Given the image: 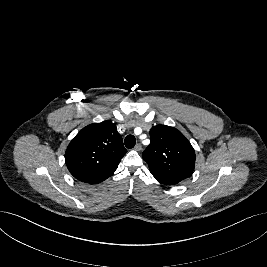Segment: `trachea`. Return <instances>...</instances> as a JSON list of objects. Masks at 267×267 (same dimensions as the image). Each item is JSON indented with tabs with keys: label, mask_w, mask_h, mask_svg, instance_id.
I'll return each mask as SVG.
<instances>
[{
	"label": "trachea",
	"mask_w": 267,
	"mask_h": 267,
	"mask_svg": "<svg viewBox=\"0 0 267 267\" xmlns=\"http://www.w3.org/2000/svg\"><path fill=\"white\" fill-rule=\"evenodd\" d=\"M125 146L128 149H131L135 146L136 144V138L133 135H128L126 136L125 140H124Z\"/></svg>",
	"instance_id": "3493384b"
}]
</instances>
